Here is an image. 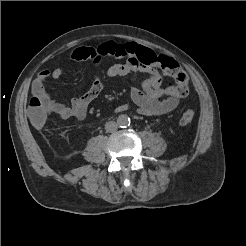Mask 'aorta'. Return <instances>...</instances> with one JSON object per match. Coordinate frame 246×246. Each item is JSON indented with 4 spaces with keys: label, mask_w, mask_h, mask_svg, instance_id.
I'll use <instances>...</instances> for the list:
<instances>
[{
    "label": "aorta",
    "mask_w": 246,
    "mask_h": 246,
    "mask_svg": "<svg viewBox=\"0 0 246 246\" xmlns=\"http://www.w3.org/2000/svg\"><path fill=\"white\" fill-rule=\"evenodd\" d=\"M117 124L120 127H126L130 125V118L127 115H120L117 119Z\"/></svg>",
    "instance_id": "1"
}]
</instances>
